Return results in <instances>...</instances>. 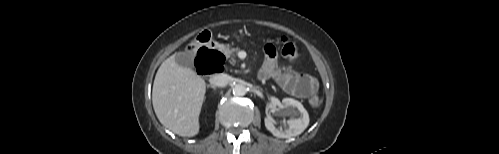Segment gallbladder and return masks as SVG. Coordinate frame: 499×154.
<instances>
[{"instance_id":"bac80fb5","label":"gallbladder","mask_w":499,"mask_h":154,"mask_svg":"<svg viewBox=\"0 0 499 154\" xmlns=\"http://www.w3.org/2000/svg\"><path fill=\"white\" fill-rule=\"evenodd\" d=\"M194 55L189 52H178L175 55V61L178 65L183 67L192 68L193 67Z\"/></svg>"}]
</instances>
